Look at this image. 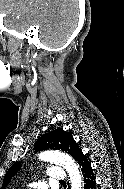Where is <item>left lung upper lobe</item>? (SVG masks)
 Returning <instances> with one entry per match:
<instances>
[{"label": "left lung upper lobe", "mask_w": 124, "mask_h": 189, "mask_svg": "<svg viewBox=\"0 0 124 189\" xmlns=\"http://www.w3.org/2000/svg\"><path fill=\"white\" fill-rule=\"evenodd\" d=\"M62 150L70 154L75 161L83 154L78 144L74 141L72 135L62 128H57L49 133L42 135L35 143V151L40 150ZM20 162H15L5 174L2 189L9 183L10 179L16 174L20 168Z\"/></svg>", "instance_id": "1"}]
</instances>
